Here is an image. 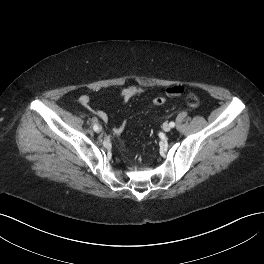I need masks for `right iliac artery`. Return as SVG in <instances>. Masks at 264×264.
Here are the masks:
<instances>
[{
    "instance_id": "obj_1",
    "label": "right iliac artery",
    "mask_w": 264,
    "mask_h": 264,
    "mask_svg": "<svg viewBox=\"0 0 264 264\" xmlns=\"http://www.w3.org/2000/svg\"><path fill=\"white\" fill-rule=\"evenodd\" d=\"M93 129H94V131H98V129H99L98 125L94 124Z\"/></svg>"
}]
</instances>
